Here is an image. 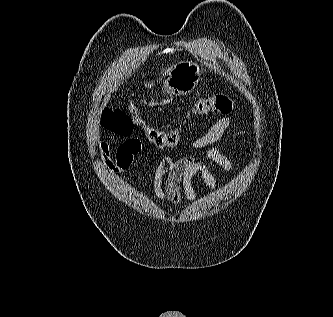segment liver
Masks as SVG:
<instances>
[{
    "mask_svg": "<svg viewBox=\"0 0 333 317\" xmlns=\"http://www.w3.org/2000/svg\"><path fill=\"white\" fill-rule=\"evenodd\" d=\"M170 69H171V68L167 69V70L165 71V73H168V71H169Z\"/></svg>",
    "mask_w": 333,
    "mask_h": 317,
    "instance_id": "6515ba94",
    "label": "liver"
}]
</instances>
